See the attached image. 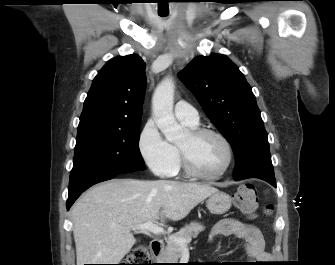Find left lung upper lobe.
<instances>
[{"mask_svg":"<svg viewBox=\"0 0 335 265\" xmlns=\"http://www.w3.org/2000/svg\"><path fill=\"white\" fill-rule=\"evenodd\" d=\"M179 77L230 143L234 176L274 178L268 136L255 96L238 67L225 55L194 58Z\"/></svg>","mask_w":335,"mask_h":265,"instance_id":"obj_1","label":"left lung upper lobe"}]
</instances>
